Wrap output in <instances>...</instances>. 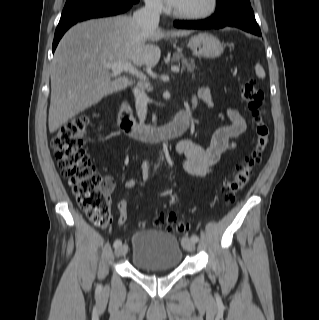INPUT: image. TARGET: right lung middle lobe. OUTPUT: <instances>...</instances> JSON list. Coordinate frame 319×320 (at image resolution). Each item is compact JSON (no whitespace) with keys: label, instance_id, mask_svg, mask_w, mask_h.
<instances>
[{"label":"right lung middle lobe","instance_id":"dd1d6c3e","mask_svg":"<svg viewBox=\"0 0 319 320\" xmlns=\"http://www.w3.org/2000/svg\"><path fill=\"white\" fill-rule=\"evenodd\" d=\"M103 1L105 0H67L61 16L68 15L80 8Z\"/></svg>","mask_w":319,"mask_h":320}]
</instances>
